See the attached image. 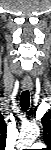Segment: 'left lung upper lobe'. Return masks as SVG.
<instances>
[{
  "label": "left lung upper lobe",
  "mask_w": 51,
  "mask_h": 150,
  "mask_svg": "<svg viewBox=\"0 0 51 150\" xmlns=\"http://www.w3.org/2000/svg\"><path fill=\"white\" fill-rule=\"evenodd\" d=\"M43 137L47 146H51V111L42 117Z\"/></svg>",
  "instance_id": "left-lung-upper-lobe-1"
}]
</instances>
